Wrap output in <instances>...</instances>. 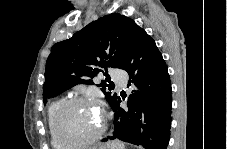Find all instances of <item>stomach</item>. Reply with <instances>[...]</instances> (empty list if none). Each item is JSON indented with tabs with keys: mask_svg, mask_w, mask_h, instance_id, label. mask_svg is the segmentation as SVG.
<instances>
[{
	"mask_svg": "<svg viewBox=\"0 0 227 149\" xmlns=\"http://www.w3.org/2000/svg\"><path fill=\"white\" fill-rule=\"evenodd\" d=\"M98 149H108L107 147H105V146H101L100 148H98Z\"/></svg>",
	"mask_w": 227,
	"mask_h": 149,
	"instance_id": "1",
	"label": "stomach"
}]
</instances>
